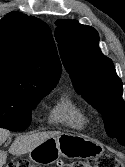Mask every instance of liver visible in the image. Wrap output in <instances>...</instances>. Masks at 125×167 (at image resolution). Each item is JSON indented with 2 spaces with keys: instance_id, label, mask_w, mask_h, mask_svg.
<instances>
[{
  "instance_id": "1",
  "label": "liver",
  "mask_w": 125,
  "mask_h": 167,
  "mask_svg": "<svg viewBox=\"0 0 125 167\" xmlns=\"http://www.w3.org/2000/svg\"><path fill=\"white\" fill-rule=\"evenodd\" d=\"M60 134L61 132L59 131H49L18 136L10 146L9 152L13 155L29 153L42 142ZM9 135L10 132L8 130L0 128V145L8 138ZM6 159L7 152L0 150V167H3V165L6 163Z\"/></svg>"
}]
</instances>
